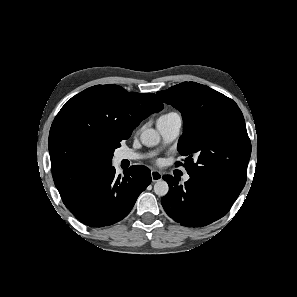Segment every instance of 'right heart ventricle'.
Instances as JSON below:
<instances>
[{"label":"right heart ventricle","mask_w":297,"mask_h":297,"mask_svg":"<svg viewBox=\"0 0 297 297\" xmlns=\"http://www.w3.org/2000/svg\"><path fill=\"white\" fill-rule=\"evenodd\" d=\"M176 115H178L177 113H175V112H170V113H168V114H165L164 116H162V117H168V116H176Z\"/></svg>","instance_id":"right-heart-ventricle-1"}]
</instances>
